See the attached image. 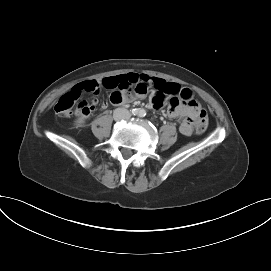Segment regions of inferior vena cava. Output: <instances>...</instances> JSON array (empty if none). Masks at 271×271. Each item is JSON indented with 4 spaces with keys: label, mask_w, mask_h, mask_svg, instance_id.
<instances>
[{
    "label": "inferior vena cava",
    "mask_w": 271,
    "mask_h": 271,
    "mask_svg": "<svg viewBox=\"0 0 271 271\" xmlns=\"http://www.w3.org/2000/svg\"><path fill=\"white\" fill-rule=\"evenodd\" d=\"M125 114L128 115V112L122 108H118L114 111V116L118 118H122Z\"/></svg>",
    "instance_id": "inferior-vena-cava-1"
}]
</instances>
